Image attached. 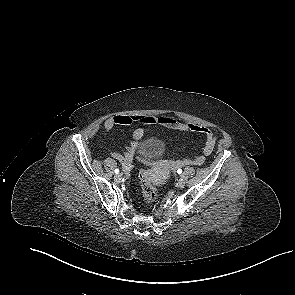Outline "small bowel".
Masks as SVG:
<instances>
[{"mask_svg": "<svg viewBox=\"0 0 295 295\" xmlns=\"http://www.w3.org/2000/svg\"><path fill=\"white\" fill-rule=\"evenodd\" d=\"M132 124H139L142 127L136 128L132 133V142L126 148L123 153L111 151L110 155L119 161L124 169L128 171L131 163L137 157V141H139L144 133V127H150L154 125H161L167 129L187 132V133H199L205 137V143L203 147V154L194 158H181L174 161L176 166L194 165L200 166L205 162V157L212 154L218 135L213 133L207 127L189 123L185 121H179L173 117L166 115H116L109 117L103 123V129L105 132H110L116 126H128Z\"/></svg>", "mask_w": 295, "mask_h": 295, "instance_id": "small-bowel-1", "label": "small bowel"}]
</instances>
